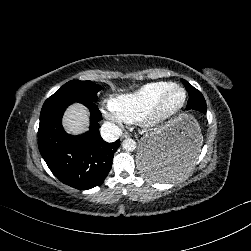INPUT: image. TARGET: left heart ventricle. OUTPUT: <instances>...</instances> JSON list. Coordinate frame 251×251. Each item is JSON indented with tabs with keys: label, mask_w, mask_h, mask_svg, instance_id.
<instances>
[{
	"label": "left heart ventricle",
	"mask_w": 251,
	"mask_h": 251,
	"mask_svg": "<svg viewBox=\"0 0 251 251\" xmlns=\"http://www.w3.org/2000/svg\"><path fill=\"white\" fill-rule=\"evenodd\" d=\"M184 100V94L182 91L169 88V96L164 103L161 114L163 116H170L178 111Z\"/></svg>",
	"instance_id": "left-heart-ventricle-1"
}]
</instances>
